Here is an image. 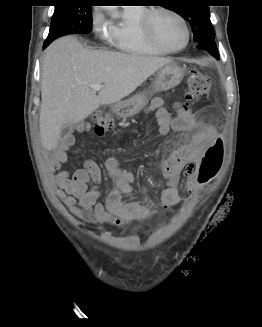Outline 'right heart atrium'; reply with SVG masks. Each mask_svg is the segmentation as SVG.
<instances>
[{
	"label": "right heart atrium",
	"mask_w": 262,
	"mask_h": 327,
	"mask_svg": "<svg viewBox=\"0 0 262 327\" xmlns=\"http://www.w3.org/2000/svg\"><path fill=\"white\" fill-rule=\"evenodd\" d=\"M92 28L101 37H106L108 35V29L104 17L99 12H94L92 14Z\"/></svg>",
	"instance_id": "right-heart-atrium-1"
}]
</instances>
